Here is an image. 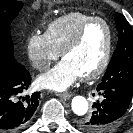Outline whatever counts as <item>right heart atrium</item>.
<instances>
[{"mask_svg":"<svg viewBox=\"0 0 133 133\" xmlns=\"http://www.w3.org/2000/svg\"><path fill=\"white\" fill-rule=\"evenodd\" d=\"M27 53L32 66L39 71L48 69L50 64L60 55L47 36L42 33H34L29 37Z\"/></svg>","mask_w":133,"mask_h":133,"instance_id":"d8ad5b80","label":"right heart atrium"}]
</instances>
